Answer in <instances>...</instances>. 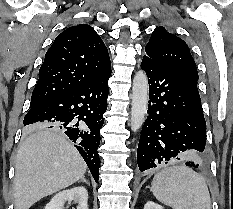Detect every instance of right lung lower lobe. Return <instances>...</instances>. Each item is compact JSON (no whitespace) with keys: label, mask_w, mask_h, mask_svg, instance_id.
I'll return each mask as SVG.
<instances>
[{"label":"right lung lower lobe","mask_w":233,"mask_h":209,"mask_svg":"<svg viewBox=\"0 0 233 209\" xmlns=\"http://www.w3.org/2000/svg\"><path fill=\"white\" fill-rule=\"evenodd\" d=\"M111 70L100 78L74 90L59 94L31 107L24 126L51 124L75 143L95 181L99 179L100 129L107 110L108 80Z\"/></svg>","instance_id":"right-lung-lower-lobe-1"}]
</instances>
